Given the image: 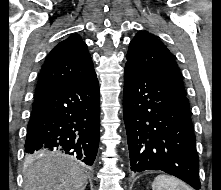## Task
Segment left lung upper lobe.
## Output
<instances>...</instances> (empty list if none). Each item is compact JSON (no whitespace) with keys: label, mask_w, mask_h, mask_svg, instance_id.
Masks as SVG:
<instances>
[{"label":"left lung upper lobe","mask_w":221,"mask_h":190,"mask_svg":"<svg viewBox=\"0 0 221 190\" xmlns=\"http://www.w3.org/2000/svg\"><path fill=\"white\" fill-rule=\"evenodd\" d=\"M127 61L158 75L186 95L179 68L166 46L154 35L139 31L129 44Z\"/></svg>","instance_id":"1"}]
</instances>
